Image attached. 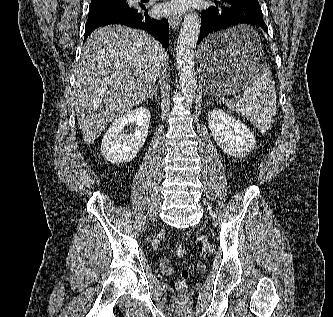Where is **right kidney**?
I'll return each instance as SVG.
<instances>
[{
    "instance_id": "right-kidney-1",
    "label": "right kidney",
    "mask_w": 333,
    "mask_h": 317,
    "mask_svg": "<svg viewBox=\"0 0 333 317\" xmlns=\"http://www.w3.org/2000/svg\"><path fill=\"white\" fill-rule=\"evenodd\" d=\"M134 125V133L125 134L126 125ZM150 124V112L139 107L116 118L103 136L101 152L111 163L133 160L144 145Z\"/></svg>"
}]
</instances>
